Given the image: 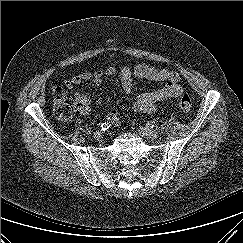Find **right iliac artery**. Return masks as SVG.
Masks as SVG:
<instances>
[{
	"instance_id": "right-iliac-artery-1",
	"label": "right iliac artery",
	"mask_w": 243,
	"mask_h": 243,
	"mask_svg": "<svg viewBox=\"0 0 243 243\" xmlns=\"http://www.w3.org/2000/svg\"><path fill=\"white\" fill-rule=\"evenodd\" d=\"M112 124H113L112 121L107 120L106 122H104L103 124H101V129H102L103 131H105V130L109 129V128L111 127Z\"/></svg>"
}]
</instances>
